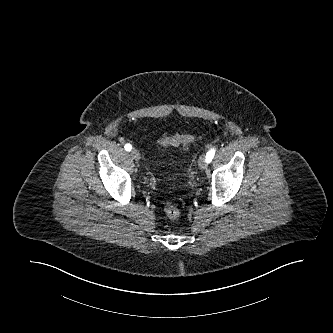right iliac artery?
Returning <instances> with one entry per match:
<instances>
[{
    "instance_id": "right-iliac-artery-1",
    "label": "right iliac artery",
    "mask_w": 333,
    "mask_h": 333,
    "mask_svg": "<svg viewBox=\"0 0 333 333\" xmlns=\"http://www.w3.org/2000/svg\"><path fill=\"white\" fill-rule=\"evenodd\" d=\"M124 148H125L126 151H131L132 146H131L130 144H126V145L124 146Z\"/></svg>"
}]
</instances>
